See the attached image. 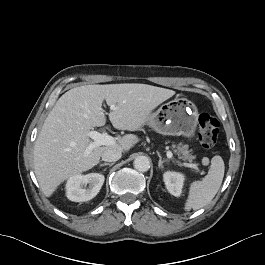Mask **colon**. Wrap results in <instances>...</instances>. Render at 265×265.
Segmentation results:
<instances>
[{
    "mask_svg": "<svg viewBox=\"0 0 265 265\" xmlns=\"http://www.w3.org/2000/svg\"><path fill=\"white\" fill-rule=\"evenodd\" d=\"M219 122L209 113H201L198 119V137L204 148H212L217 140Z\"/></svg>",
    "mask_w": 265,
    "mask_h": 265,
    "instance_id": "1",
    "label": "colon"
}]
</instances>
